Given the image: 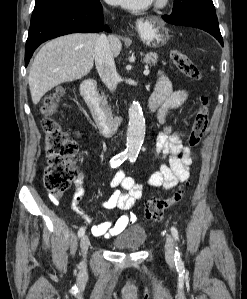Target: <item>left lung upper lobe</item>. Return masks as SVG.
<instances>
[{
  "label": "left lung upper lobe",
  "mask_w": 247,
  "mask_h": 299,
  "mask_svg": "<svg viewBox=\"0 0 247 299\" xmlns=\"http://www.w3.org/2000/svg\"><path fill=\"white\" fill-rule=\"evenodd\" d=\"M190 6H197L215 12L212 0H174L172 13Z\"/></svg>",
  "instance_id": "obj_1"
}]
</instances>
